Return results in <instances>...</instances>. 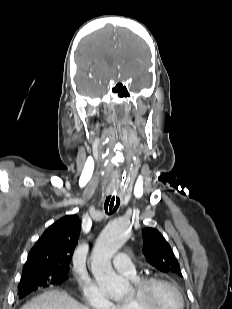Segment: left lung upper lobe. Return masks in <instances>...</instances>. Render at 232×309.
Listing matches in <instances>:
<instances>
[{
  "mask_svg": "<svg viewBox=\"0 0 232 309\" xmlns=\"http://www.w3.org/2000/svg\"><path fill=\"white\" fill-rule=\"evenodd\" d=\"M143 242V253L153 267L165 273L170 272L182 276L178 260L159 231L154 228H145Z\"/></svg>",
  "mask_w": 232,
  "mask_h": 309,
  "instance_id": "left-lung-upper-lobe-1",
  "label": "left lung upper lobe"
}]
</instances>
